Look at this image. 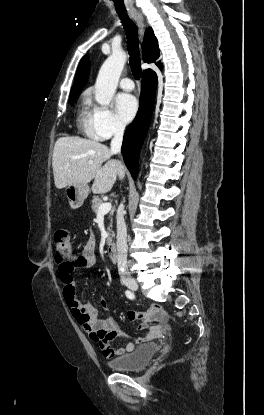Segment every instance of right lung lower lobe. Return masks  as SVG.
<instances>
[{"mask_svg": "<svg viewBox=\"0 0 264 415\" xmlns=\"http://www.w3.org/2000/svg\"><path fill=\"white\" fill-rule=\"evenodd\" d=\"M156 84V73L143 74L139 110L135 119L125 131L123 137V159L134 179H136L138 172L140 149L145 139L152 115Z\"/></svg>", "mask_w": 264, "mask_h": 415, "instance_id": "98d812e1", "label": "right lung lower lobe"}]
</instances>
